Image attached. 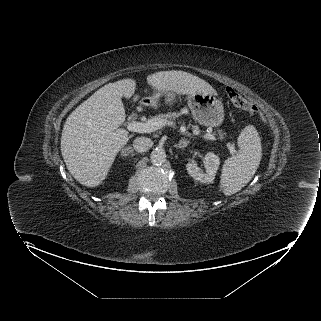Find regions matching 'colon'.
Wrapping results in <instances>:
<instances>
[{
    "label": "colon",
    "mask_w": 321,
    "mask_h": 321,
    "mask_svg": "<svg viewBox=\"0 0 321 321\" xmlns=\"http://www.w3.org/2000/svg\"><path fill=\"white\" fill-rule=\"evenodd\" d=\"M227 96L231 103L235 105L236 107L243 108L249 111H252L256 113L261 119H264V115L261 112V110L254 105L252 102L248 101L246 98H244L241 94H239L237 91H235L232 88L226 89Z\"/></svg>",
    "instance_id": "1"
}]
</instances>
